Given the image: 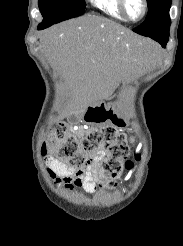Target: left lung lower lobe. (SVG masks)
Segmentation results:
<instances>
[{"instance_id":"0a47b994","label":"left lung lower lobe","mask_w":183,"mask_h":246,"mask_svg":"<svg viewBox=\"0 0 183 246\" xmlns=\"http://www.w3.org/2000/svg\"><path fill=\"white\" fill-rule=\"evenodd\" d=\"M150 38L154 39L155 41L159 42L162 47L165 48L168 38H169V32H165L159 35H152Z\"/></svg>"}]
</instances>
